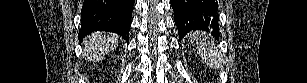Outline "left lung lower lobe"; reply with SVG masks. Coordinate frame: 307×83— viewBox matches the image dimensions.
I'll return each instance as SVG.
<instances>
[{
  "label": "left lung lower lobe",
  "instance_id": "0a47b994",
  "mask_svg": "<svg viewBox=\"0 0 307 83\" xmlns=\"http://www.w3.org/2000/svg\"><path fill=\"white\" fill-rule=\"evenodd\" d=\"M179 39L187 33L202 30L219 39L217 0H170Z\"/></svg>",
  "mask_w": 307,
  "mask_h": 83
}]
</instances>
